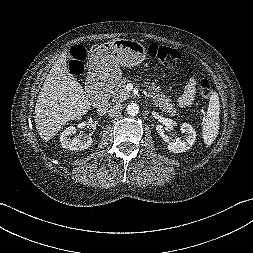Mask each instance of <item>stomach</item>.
I'll use <instances>...</instances> for the list:
<instances>
[{"instance_id": "stomach-1", "label": "stomach", "mask_w": 253, "mask_h": 253, "mask_svg": "<svg viewBox=\"0 0 253 253\" xmlns=\"http://www.w3.org/2000/svg\"><path fill=\"white\" fill-rule=\"evenodd\" d=\"M146 56L147 49L144 44L131 39H115L96 48L90 60V74L117 80L120 77V65H139Z\"/></svg>"}]
</instances>
